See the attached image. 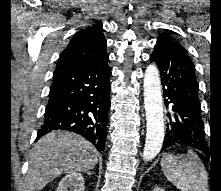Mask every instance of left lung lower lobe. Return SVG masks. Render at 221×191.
<instances>
[{
    "label": "left lung lower lobe",
    "mask_w": 221,
    "mask_h": 191,
    "mask_svg": "<svg viewBox=\"0 0 221 191\" xmlns=\"http://www.w3.org/2000/svg\"><path fill=\"white\" fill-rule=\"evenodd\" d=\"M150 61L159 68L165 106L171 111L161 151L188 146L207 153L195 66L186 49L177 41L158 38Z\"/></svg>",
    "instance_id": "obj_1"
}]
</instances>
